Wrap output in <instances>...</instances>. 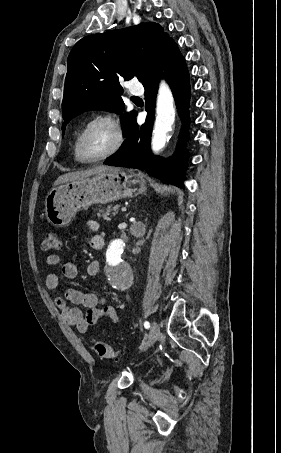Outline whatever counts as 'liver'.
I'll list each match as a JSON object with an SVG mask.
<instances>
[{
    "label": "liver",
    "instance_id": "1",
    "mask_svg": "<svg viewBox=\"0 0 281 453\" xmlns=\"http://www.w3.org/2000/svg\"><path fill=\"white\" fill-rule=\"evenodd\" d=\"M107 170H116L115 166H94V168H89V170H76V172H66V174H61L58 176L57 180L53 182V186L56 184H62V182H69V180H81V178H87V176H93V174H99V172H107Z\"/></svg>",
    "mask_w": 281,
    "mask_h": 453
}]
</instances>
